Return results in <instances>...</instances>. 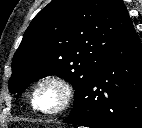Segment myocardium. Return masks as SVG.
<instances>
[{
    "instance_id": "1",
    "label": "myocardium",
    "mask_w": 142,
    "mask_h": 128,
    "mask_svg": "<svg viewBox=\"0 0 142 128\" xmlns=\"http://www.w3.org/2000/svg\"><path fill=\"white\" fill-rule=\"evenodd\" d=\"M48 85L56 86L60 90L62 96L61 102L58 107L52 110H45L40 105V95L43 89ZM73 99L74 88L67 78L57 74L48 75L41 79L35 88L34 108L44 115L55 116L67 110L72 104Z\"/></svg>"
}]
</instances>
